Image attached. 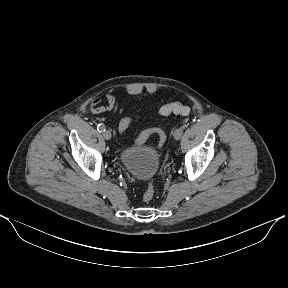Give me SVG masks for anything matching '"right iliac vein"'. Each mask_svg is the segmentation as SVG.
Instances as JSON below:
<instances>
[{"instance_id":"1","label":"right iliac vein","mask_w":288,"mask_h":288,"mask_svg":"<svg viewBox=\"0 0 288 288\" xmlns=\"http://www.w3.org/2000/svg\"><path fill=\"white\" fill-rule=\"evenodd\" d=\"M103 137L105 140H110L111 139V132L109 130H105L103 132Z\"/></svg>"}]
</instances>
